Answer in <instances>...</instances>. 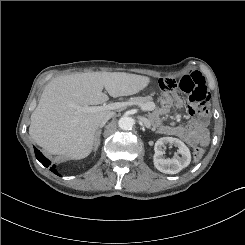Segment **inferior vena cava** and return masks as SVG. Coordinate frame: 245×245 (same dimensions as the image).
<instances>
[{"label":"inferior vena cava","mask_w":245,"mask_h":245,"mask_svg":"<svg viewBox=\"0 0 245 245\" xmlns=\"http://www.w3.org/2000/svg\"><path fill=\"white\" fill-rule=\"evenodd\" d=\"M114 116V113L113 112H110L108 113L103 119L102 121L100 122V126H104L105 123L111 118Z\"/></svg>","instance_id":"obj_1"}]
</instances>
